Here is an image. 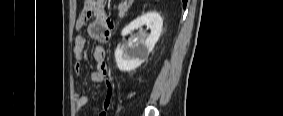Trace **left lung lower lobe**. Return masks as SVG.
I'll list each match as a JSON object with an SVG mask.
<instances>
[{"label": "left lung lower lobe", "mask_w": 283, "mask_h": 116, "mask_svg": "<svg viewBox=\"0 0 283 116\" xmlns=\"http://www.w3.org/2000/svg\"><path fill=\"white\" fill-rule=\"evenodd\" d=\"M187 0H183L184 7L186 6Z\"/></svg>", "instance_id": "1"}]
</instances>
